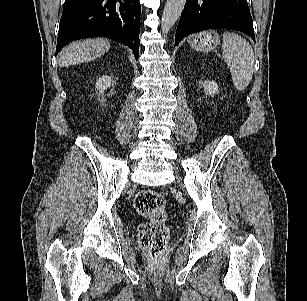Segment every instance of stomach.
<instances>
[{
  "label": "stomach",
  "mask_w": 307,
  "mask_h": 301,
  "mask_svg": "<svg viewBox=\"0 0 307 301\" xmlns=\"http://www.w3.org/2000/svg\"><path fill=\"white\" fill-rule=\"evenodd\" d=\"M190 46L201 52H208L220 43L219 36L215 31H204L188 38Z\"/></svg>",
  "instance_id": "0dacf381"
}]
</instances>
